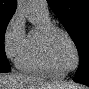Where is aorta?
<instances>
[{
    "label": "aorta",
    "instance_id": "1",
    "mask_svg": "<svg viewBox=\"0 0 89 89\" xmlns=\"http://www.w3.org/2000/svg\"><path fill=\"white\" fill-rule=\"evenodd\" d=\"M18 8L23 12L30 23L35 24L37 22L34 0H19Z\"/></svg>",
    "mask_w": 89,
    "mask_h": 89
}]
</instances>
